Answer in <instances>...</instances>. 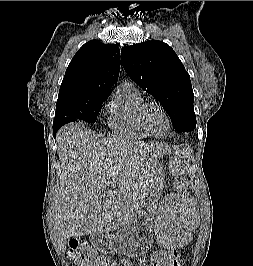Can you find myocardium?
Instances as JSON below:
<instances>
[{"label":"myocardium","mask_w":253,"mask_h":266,"mask_svg":"<svg viewBox=\"0 0 253 266\" xmlns=\"http://www.w3.org/2000/svg\"><path fill=\"white\" fill-rule=\"evenodd\" d=\"M150 107H156L158 108L165 116L166 120H167V124H168V127H167V131L164 135H156L154 134L150 128L148 127L147 123H146V113H147V110L150 108ZM138 119H139V123L141 125V127L144 129V131L151 137H155V138H163L165 136L168 135V133L170 132V129H171V120H170V117L166 111V109L159 103L157 102H145L140 110H139V115H138Z\"/></svg>","instance_id":"obj_1"}]
</instances>
